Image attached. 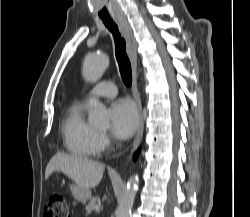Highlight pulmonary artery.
Returning a JSON list of instances; mask_svg holds the SVG:
<instances>
[{
	"label": "pulmonary artery",
	"instance_id": "pulmonary-artery-1",
	"mask_svg": "<svg viewBox=\"0 0 250 217\" xmlns=\"http://www.w3.org/2000/svg\"><path fill=\"white\" fill-rule=\"evenodd\" d=\"M116 95H117L116 86L112 82L102 81L89 91L84 101L85 103H90L92 99L94 98H98V97L111 98Z\"/></svg>",
	"mask_w": 250,
	"mask_h": 217
}]
</instances>
